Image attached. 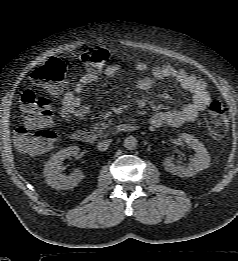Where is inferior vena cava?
Segmentation results:
<instances>
[{
	"instance_id": "1",
	"label": "inferior vena cava",
	"mask_w": 238,
	"mask_h": 261,
	"mask_svg": "<svg viewBox=\"0 0 238 261\" xmlns=\"http://www.w3.org/2000/svg\"><path fill=\"white\" fill-rule=\"evenodd\" d=\"M111 143L110 139L102 140L97 144V148L99 151H106Z\"/></svg>"
}]
</instances>
